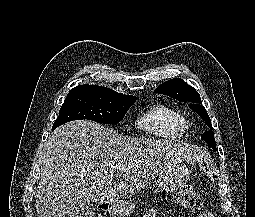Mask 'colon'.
Wrapping results in <instances>:
<instances>
[{
    "mask_svg": "<svg viewBox=\"0 0 255 217\" xmlns=\"http://www.w3.org/2000/svg\"><path fill=\"white\" fill-rule=\"evenodd\" d=\"M174 200L177 204L188 210H199L202 206L201 197L192 187L185 186L175 195Z\"/></svg>",
    "mask_w": 255,
    "mask_h": 217,
    "instance_id": "obj_1",
    "label": "colon"
}]
</instances>
